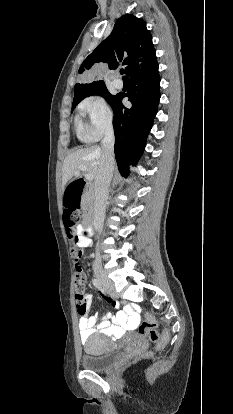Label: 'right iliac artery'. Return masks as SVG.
Wrapping results in <instances>:
<instances>
[{
  "instance_id": "right-iliac-artery-1",
  "label": "right iliac artery",
  "mask_w": 233,
  "mask_h": 414,
  "mask_svg": "<svg viewBox=\"0 0 233 414\" xmlns=\"http://www.w3.org/2000/svg\"><path fill=\"white\" fill-rule=\"evenodd\" d=\"M92 283L98 290L102 291V285L98 279L94 278Z\"/></svg>"
}]
</instances>
